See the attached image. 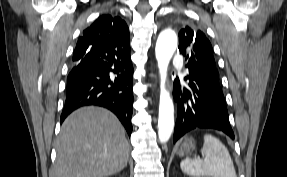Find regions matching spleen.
<instances>
[{
	"label": "spleen",
	"mask_w": 287,
	"mask_h": 177,
	"mask_svg": "<svg viewBox=\"0 0 287 177\" xmlns=\"http://www.w3.org/2000/svg\"><path fill=\"white\" fill-rule=\"evenodd\" d=\"M202 159L186 158L181 170L193 177H237L233 161L225 145L212 135H204Z\"/></svg>",
	"instance_id": "obj_1"
}]
</instances>
